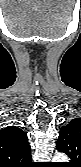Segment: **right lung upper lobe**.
<instances>
[{
    "label": "right lung upper lobe",
    "instance_id": "1",
    "mask_svg": "<svg viewBox=\"0 0 81 167\" xmlns=\"http://www.w3.org/2000/svg\"><path fill=\"white\" fill-rule=\"evenodd\" d=\"M31 165V148L25 132L16 126L0 130V167Z\"/></svg>",
    "mask_w": 81,
    "mask_h": 167
}]
</instances>
